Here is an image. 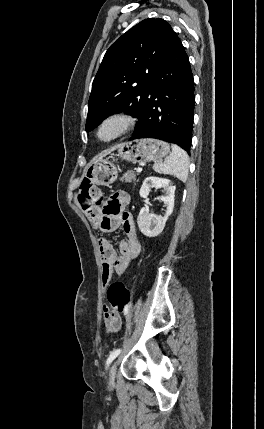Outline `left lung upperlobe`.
Segmentation results:
<instances>
[{"label": "left lung upper lobe", "mask_w": 264, "mask_h": 429, "mask_svg": "<svg viewBox=\"0 0 264 429\" xmlns=\"http://www.w3.org/2000/svg\"><path fill=\"white\" fill-rule=\"evenodd\" d=\"M171 32L165 20L148 18L110 46L92 84L86 131L111 114L124 112L141 117Z\"/></svg>", "instance_id": "left-lung-upper-lobe-1"}]
</instances>
